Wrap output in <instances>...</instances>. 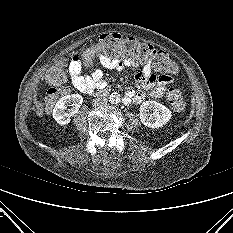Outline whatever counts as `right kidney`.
Listing matches in <instances>:
<instances>
[{"label": "right kidney", "instance_id": "right-kidney-1", "mask_svg": "<svg viewBox=\"0 0 233 233\" xmlns=\"http://www.w3.org/2000/svg\"><path fill=\"white\" fill-rule=\"evenodd\" d=\"M82 103L83 97L79 94L63 96L57 101L53 109V118L60 125L70 123L71 117L78 112ZM68 106L71 107L67 109Z\"/></svg>", "mask_w": 233, "mask_h": 233}]
</instances>
